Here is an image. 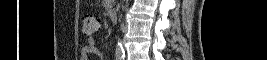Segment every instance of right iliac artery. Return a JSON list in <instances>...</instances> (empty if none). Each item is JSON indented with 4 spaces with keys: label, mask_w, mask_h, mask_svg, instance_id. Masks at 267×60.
<instances>
[{
    "label": "right iliac artery",
    "mask_w": 267,
    "mask_h": 60,
    "mask_svg": "<svg viewBox=\"0 0 267 60\" xmlns=\"http://www.w3.org/2000/svg\"><path fill=\"white\" fill-rule=\"evenodd\" d=\"M124 57H125V55H122V54H119V53L116 54V60H123Z\"/></svg>",
    "instance_id": "82829eb1"
}]
</instances>
